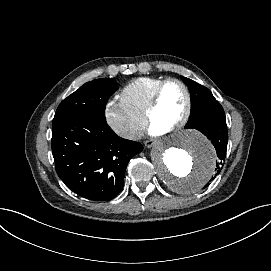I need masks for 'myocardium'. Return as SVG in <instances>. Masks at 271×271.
<instances>
[{
  "label": "myocardium",
  "mask_w": 271,
  "mask_h": 271,
  "mask_svg": "<svg viewBox=\"0 0 271 271\" xmlns=\"http://www.w3.org/2000/svg\"><path fill=\"white\" fill-rule=\"evenodd\" d=\"M171 82H175L179 84L184 89L187 96V109H186L185 114L182 116V118H180L174 124V126L170 130L167 131L168 133H172V132L182 129L190 121L193 114V107H194L193 94L191 92L190 87L184 80L178 77L164 78L162 81H160V83L156 86V88L154 89L152 93L151 100H150V103L145 115L148 123L151 124L152 115L159 107L160 97H161V93L164 87Z\"/></svg>",
  "instance_id": "obj_1"
}]
</instances>
